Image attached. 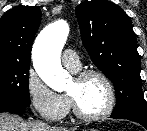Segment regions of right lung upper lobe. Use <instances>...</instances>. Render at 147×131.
Wrapping results in <instances>:
<instances>
[{
  "mask_svg": "<svg viewBox=\"0 0 147 131\" xmlns=\"http://www.w3.org/2000/svg\"><path fill=\"white\" fill-rule=\"evenodd\" d=\"M41 22L38 6H17L0 18V61L30 64L31 47Z\"/></svg>",
  "mask_w": 147,
  "mask_h": 131,
  "instance_id": "cb5924a9",
  "label": "right lung upper lobe"
}]
</instances>
